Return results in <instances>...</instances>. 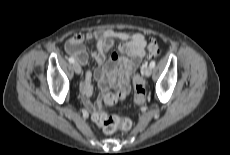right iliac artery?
Here are the masks:
<instances>
[{
  "label": "right iliac artery",
  "mask_w": 230,
  "mask_h": 155,
  "mask_svg": "<svg viewBox=\"0 0 230 155\" xmlns=\"http://www.w3.org/2000/svg\"><path fill=\"white\" fill-rule=\"evenodd\" d=\"M68 60H69L70 63H74L75 62V60H74L73 57H70Z\"/></svg>",
  "instance_id": "82829eb1"
}]
</instances>
